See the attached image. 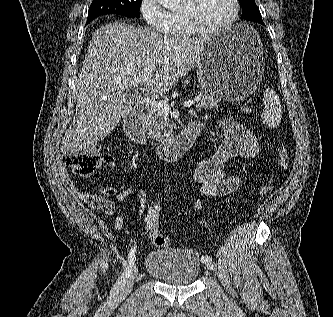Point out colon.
Returning <instances> with one entry per match:
<instances>
[{
  "label": "colon",
  "instance_id": "colon-1",
  "mask_svg": "<svg viewBox=\"0 0 333 317\" xmlns=\"http://www.w3.org/2000/svg\"><path fill=\"white\" fill-rule=\"evenodd\" d=\"M243 114H250L252 109L249 106L241 108ZM105 157L102 156L98 147H92L87 151L68 154L64 157L65 164L71 171L82 178H89L93 176L100 168L102 161ZM289 154L286 147L281 146L278 151V164L280 168L286 169L288 167ZM273 188L271 182L263 185L259 192V196H264ZM164 215V208L160 204L148 206L144 216V227L148 233L150 241L157 247L167 248L171 242L168 237L159 232V223Z\"/></svg>",
  "mask_w": 333,
  "mask_h": 317
}]
</instances>
